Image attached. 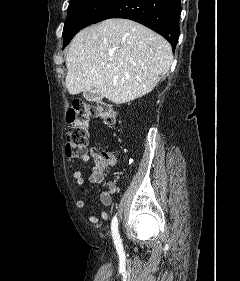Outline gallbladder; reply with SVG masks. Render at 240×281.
<instances>
[{
    "label": "gallbladder",
    "mask_w": 240,
    "mask_h": 281,
    "mask_svg": "<svg viewBox=\"0 0 240 281\" xmlns=\"http://www.w3.org/2000/svg\"><path fill=\"white\" fill-rule=\"evenodd\" d=\"M83 96H84L87 100H90V101H94V99H95V97H94L93 95H91V93L88 92V91H84Z\"/></svg>",
    "instance_id": "1"
}]
</instances>
